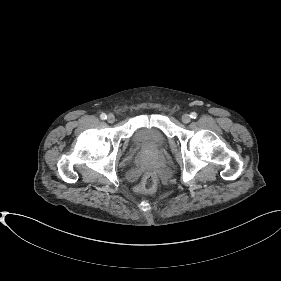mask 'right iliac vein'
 Here are the masks:
<instances>
[{
  "mask_svg": "<svg viewBox=\"0 0 281 281\" xmlns=\"http://www.w3.org/2000/svg\"><path fill=\"white\" fill-rule=\"evenodd\" d=\"M107 121H108L109 123H114V121H115V116H114L113 114H109V115L107 116Z\"/></svg>",
  "mask_w": 281,
  "mask_h": 281,
  "instance_id": "obj_1",
  "label": "right iliac vein"
}]
</instances>
